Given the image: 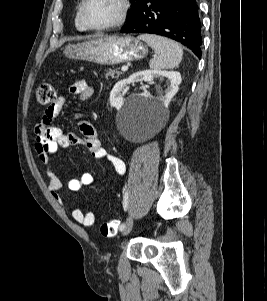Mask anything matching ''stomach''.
Segmentation results:
<instances>
[{
  "mask_svg": "<svg viewBox=\"0 0 267 301\" xmlns=\"http://www.w3.org/2000/svg\"><path fill=\"white\" fill-rule=\"evenodd\" d=\"M147 47L132 36H110L90 41L68 44L63 54L75 60H84L101 65H114L143 59Z\"/></svg>",
  "mask_w": 267,
  "mask_h": 301,
  "instance_id": "stomach-1",
  "label": "stomach"
}]
</instances>
